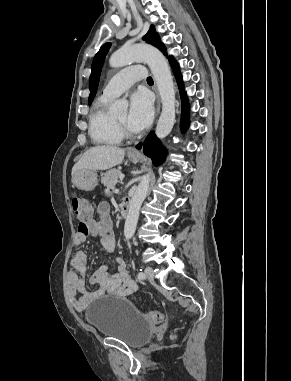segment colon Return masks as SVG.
I'll return each mask as SVG.
<instances>
[{"instance_id":"colon-1","label":"colon","mask_w":291,"mask_h":381,"mask_svg":"<svg viewBox=\"0 0 291 381\" xmlns=\"http://www.w3.org/2000/svg\"><path fill=\"white\" fill-rule=\"evenodd\" d=\"M72 212L79 221L82 230L87 229V225L92 221L93 207L91 203L83 198L73 196L71 201ZM145 317L153 324H159L163 321V313L160 311H148Z\"/></svg>"}]
</instances>
